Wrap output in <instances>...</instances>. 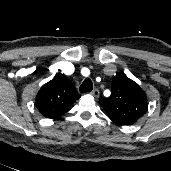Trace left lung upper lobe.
I'll list each match as a JSON object with an SVG mask.
<instances>
[{"label":"left lung upper lobe","instance_id":"left-lung-upper-lobe-1","mask_svg":"<svg viewBox=\"0 0 171 171\" xmlns=\"http://www.w3.org/2000/svg\"><path fill=\"white\" fill-rule=\"evenodd\" d=\"M111 90V96L101 99L99 103L116 124L132 125L147 111L146 94L124 73H118L113 78Z\"/></svg>","mask_w":171,"mask_h":171}]
</instances>
